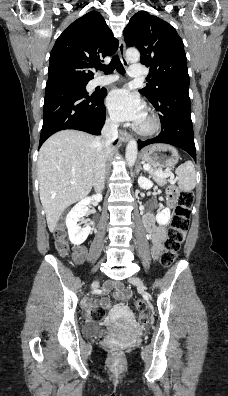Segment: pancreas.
<instances>
[{"mask_svg":"<svg viewBox=\"0 0 228 396\" xmlns=\"http://www.w3.org/2000/svg\"><path fill=\"white\" fill-rule=\"evenodd\" d=\"M160 170L157 168H151L148 173L150 174V177H153V179L157 182L158 185L163 186L167 182H171V180L167 179L166 176H160L158 175V172Z\"/></svg>","mask_w":228,"mask_h":396,"instance_id":"pancreas-1","label":"pancreas"}]
</instances>
